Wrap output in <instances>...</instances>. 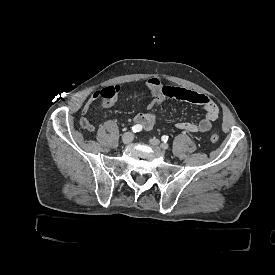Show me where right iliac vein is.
I'll list each match as a JSON object with an SVG mask.
<instances>
[{"label": "right iliac vein", "instance_id": "1", "mask_svg": "<svg viewBox=\"0 0 275 275\" xmlns=\"http://www.w3.org/2000/svg\"><path fill=\"white\" fill-rule=\"evenodd\" d=\"M134 139V134L132 132H126L122 136V142L124 144H129Z\"/></svg>", "mask_w": 275, "mask_h": 275}]
</instances>
